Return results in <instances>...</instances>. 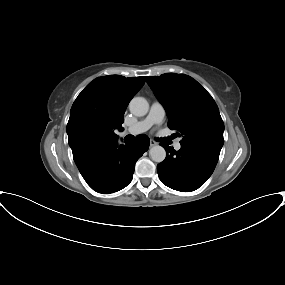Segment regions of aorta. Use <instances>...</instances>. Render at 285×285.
I'll return each instance as SVG.
<instances>
[{
	"mask_svg": "<svg viewBox=\"0 0 285 285\" xmlns=\"http://www.w3.org/2000/svg\"><path fill=\"white\" fill-rule=\"evenodd\" d=\"M129 110L135 116H144L149 110V103L143 97H134L129 103ZM149 156L154 162H162L166 157V151L162 146H153L149 150Z\"/></svg>",
	"mask_w": 285,
	"mask_h": 285,
	"instance_id": "obj_1",
	"label": "aorta"
}]
</instances>
